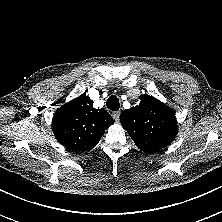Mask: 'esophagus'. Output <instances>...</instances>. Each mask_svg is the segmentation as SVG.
<instances>
[{"mask_svg": "<svg viewBox=\"0 0 222 222\" xmlns=\"http://www.w3.org/2000/svg\"><path fill=\"white\" fill-rule=\"evenodd\" d=\"M112 116H113L115 121H118L119 117H120V112L119 111L113 112Z\"/></svg>", "mask_w": 222, "mask_h": 222, "instance_id": "1", "label": "esophagus"}]
</instances>
